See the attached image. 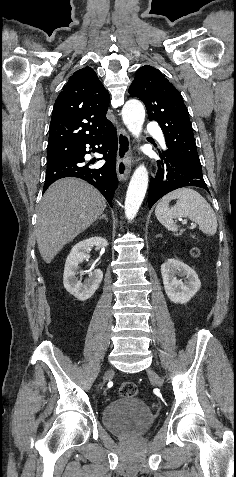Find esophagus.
Listing matches in <instances>:
<instances>
[{
  "instance_id": "34e87169",
  "label": "esophagus",
  "mask_w": 236,
  "mask_h": 477,
  "mask_svg": "<svg viewBox=\"0 0 236 477\" xmlns=\"http://www.w3.org/2000/svg\"><path fill=\"white\" fill-rule=\"evenodd\" d=\"M118 133V150L116 171L119 180H126L131 172L132 157H131V142L128 133L122 129L117 128Z\"/></svg>"
}]
</instances>
